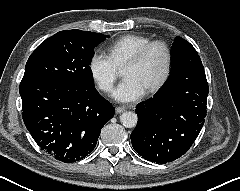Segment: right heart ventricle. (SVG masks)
Wrapping results in <instances>:
<instances>
[{"mask_svg": "<svg viewBox=\"0 0 240 191\" xmlns=\"http://www.w3.org/2000/svg\"><path fill=\"white\" fill-rule=\"evenodd\" d=\"M150 41H152L150 37L139 34L121 36L109 44L108 56L117 68H122L140 48Z\"/></svg>", "mask_w": 240, "mask_h": 191, "instance_id": "right-heart-ventricle-1", "label": "right heart ventricle"}]
</instances>
